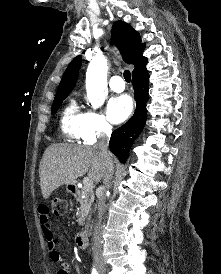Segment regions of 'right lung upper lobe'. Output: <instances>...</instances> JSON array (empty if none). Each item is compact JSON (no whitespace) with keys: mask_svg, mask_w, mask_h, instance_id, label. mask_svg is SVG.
Instances as JSON below:
<instances>
[{"mask_svg":"<svg viewBox=\"0 0 221 274\" xmlns=\"http://www.w3.org/2000/svg\"><path fill=\"white\" fill-rule=\"evenodd\" d=\"M112 40L119 47L125 62L135 66L132 76L147 70L148 59L143 56L145 45L141 44L140 35L129 24L123 21L114 22ZM81 61L82 58L79 55L69 64L57 89L56 96L69 94L72 91L78 78Z\"/></svg>","mask_w":221,"mask_h":274,"instance_id":"right-lung-upper-lobe-1","label":"right lung upper lobe"}]
</instances>
